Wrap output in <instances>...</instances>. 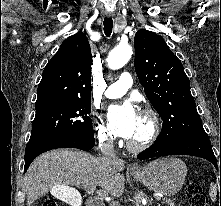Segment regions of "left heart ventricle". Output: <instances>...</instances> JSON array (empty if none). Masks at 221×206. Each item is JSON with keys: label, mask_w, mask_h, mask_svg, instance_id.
I'll return each instance as SVG.
<instances>
[{"label": "left heart ventricle", "mask_w": 221, "mask_h": 206, "mask_svg": "<svg viewBox=\"0 0 221 206\" xmlns=\"http://www.w3.org/2000/svg\"><path fill=\"white\" fill-rule=\"evenodd\" d=\"M147 131H148V124L146 120L143 119L141 116H139V122L136 132L130 140L134 142L142 140L146 136Z\"/></svg>", "instance_id": "b2bd125f"}]
</instances>
